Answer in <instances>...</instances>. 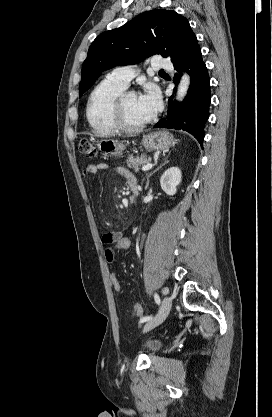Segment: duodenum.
I'll use <instances>...</instances> for the list:
<instances>
[{
    "label": "duodenum",
    "mask_w": 272,
    "mask_h": 417,
    "mask_svg": "<svg viewBox=\"0 0 272 417\" xmlns=\"http://www.w3.org/2000/svg\"><path fill=\"white\" fill-rule=\"evenodd\" d=\"M130 191L133 198H136L139 192V185L137 182L130 183Z\"/></svg>",
    "instance_id": "1"
}]
</instances>
